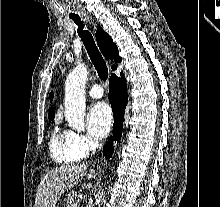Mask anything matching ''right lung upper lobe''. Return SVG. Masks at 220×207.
<instances>
[{
    "label": "right lung upper lobe",
    "instance_id": "1",
    "mask_svg": "<svg viewBox=\"0 0 220 207\" xmlns=\"http://www.w3.org/2000/svg\"><path fill=\"white\" fill-rule=\"evenodd\" d=\"M96 40L99 49L101 50L102 54L106 59H111L114 60L115 62H119L121 60V57L118 54V49L116 44L113 43L111 37L101 27L97 29ZM113 67L114 66H112V68ZM52 99H53V92H51L50 101H52ZM54 117H55V112L53 110V107H51L48 113V118L49 120H53Z\"/></svg>",
    "mask_w": 220,
    "mask_h": 207
}]
</instances>
